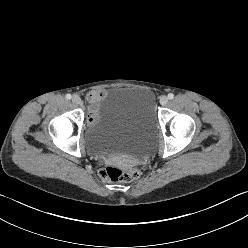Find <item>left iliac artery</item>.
<instances>
[{
    "label": "left iliac artery",
    "instance_id": "1",
    "mask_svg": "<svg viewBox=\"0 0 248 248\" xmlns=\"http://www.w3.org/2000/svg\"><path fill=\"white\" fill-rule=\"evenodd\" d=\"M168 98H169V99H173V98H174V94H173V93H169V94H168Z\"/></svg>",
    "mask_w": 248,
    "mask_h": 248
}]
</instances>
